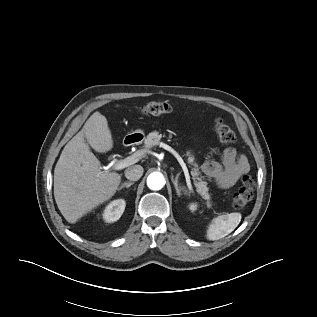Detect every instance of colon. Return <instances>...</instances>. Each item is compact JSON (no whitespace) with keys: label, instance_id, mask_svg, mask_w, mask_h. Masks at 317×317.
<instances>
[{"label":"colon","instance_id":"1","mask_svg":"<svg viewBox=\"0 0 317 317\" xmlns=\"http://www.w3.org/2000/svg\"><path fill=\"white\" fill-rule=\"evenodd\" d=\"M169 105L164 101H151L140 108L143 115H162L169 111ZM214 130L223 143L231 144L235 141L234 132L221 120H216ZM243 186L234 193L232 204L235 209L245 207L253 198L254 180L251 175H244Z\"/></svg>","mask_w":317,"mask_h":317}]
</instances>
